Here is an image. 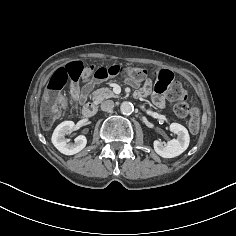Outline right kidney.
Instances as JSON below:
<instances>
[{"mask_svg": "<svg viewBox=\"0 0 236 236\" xmlns=\"http://www.w3.org/2000/svg\"><path fill=\"white\" fill-rule=\"evenodd\" d=\"M76 130L75 123L73 121H64L60 123L54 130L52 135L53 145L65 155H74L86 146L87 139L85 136L80 135L75 139L74 143L69 142L65 138L66 134Z\"/></svg>", "mask_w": 236, "mask_h": 236, "instance_id": "1", "label": "right kidney"}]
</instances>
